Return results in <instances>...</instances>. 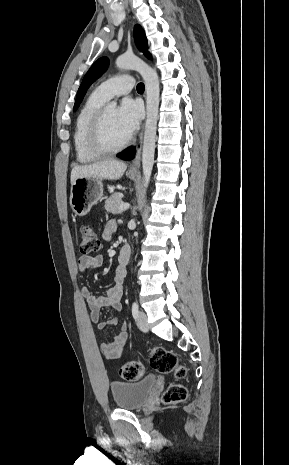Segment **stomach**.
I'll return each instance as SVG.
<instances>
[{
  "instance_id": "obj_1",
  "label": "stomach",
  "mask_w": 289,
  "mask_h": 465,
  "mask_svg": "<svg viewBox=\"0 0 289 465\" xmlns=\"http://www.w3.org/2000/svg\"><path fill=\"white\" fill-rule=\"evenodd\" d=\"M129 177L135 180L137 173H128ZM103 196V184L97 177L77 178L71 185L70 205L77 216H85L89 213Z\"/></svg>"
}]
</instances>
